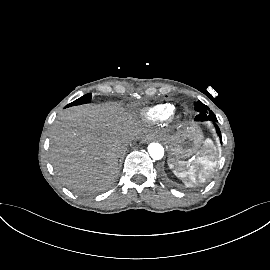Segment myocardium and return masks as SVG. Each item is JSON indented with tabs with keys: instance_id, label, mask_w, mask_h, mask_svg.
<instances>
[{
	"instance_id": "obj_1",
	"label": "myocardium",
	"mask_w": 270,
	"mask_h": 270,
	"mask_svg": "<svg viewBox=\"0 0 270 270\" xmlns=\"http://www.w3.org/2000/svg\"><path fill=\"white\" fill-rule=\"evenodd\" d=\"M172 120L176 123L180 122L181 119H182V114L181 113H178V112H173L172 115Z\"/></svg>"
}]
</instances>
